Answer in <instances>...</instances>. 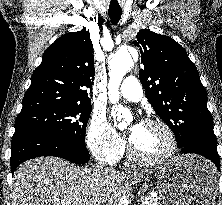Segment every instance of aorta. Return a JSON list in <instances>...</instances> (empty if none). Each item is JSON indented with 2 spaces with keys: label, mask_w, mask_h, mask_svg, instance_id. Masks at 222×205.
<instances>
[{
  "label": "aorta",
  "mask_w": 222,
  "mask_h": 205,
  "mask_svg": "<svg viewBox=\"0 0 222 205\" xmlns=\"http://www.w3.org/2000/svg\"><path fill=\"white\" fill-rule=\"evenodd\" d=\"M133 64V58L128 50H119L109 60L108 96L110 103L114 104L112 115L123 118L122 122L118 124L119 129L126 128L127 123L132 119L129 110L121 105H117V102L119 101L121 81ZM122 203H124V200L121 201V205Z\"/></svg>",
  "instance_id": "obj_1"
}]
</instances>
